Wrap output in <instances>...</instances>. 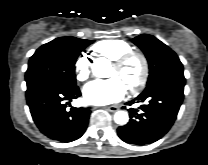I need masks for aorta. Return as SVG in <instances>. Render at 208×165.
Listing matches in <instances>:
<instances>
[{
    "label": "aorta",
    "mask_w": 208,
    "mask_h": 165,
    "mask_svg": "<svg viewBox=\"0 0 208 165\" xmlns=\"http://www.w3.org/2000/svg\"><path fill=\"white\" fill-rule=\"evenodd\" d=\"M109 61L105 58H98L94 60L92 65V72L96 77L104 78L106 71L109 69ZM114 121L118 125H125L129 121V116L126 111H117L114 115Z\"/></svg>",
    "instance_id": "762f6f07"
}]
</instances>
